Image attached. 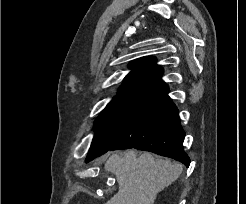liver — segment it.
<instances>
[{
  "instance_id": "liver-1",
  "label": "liver",
  "mask_w": 246,
  "mask_h": 204,
  "mask_svg": "<svg viewBox=\"0 0 246 204\" xmlns=\"http://www.w3.org/2000/svg\"><path fill=\"white\" fill-rule=\"evenodd\" d=\"M182 169V165L155 159L148 152L138 157L135 150L123 156L114 153L105 170L115 175L119 189L105 204H154L157 194L175 182Z\"/></svg>"
}]
</instances>
